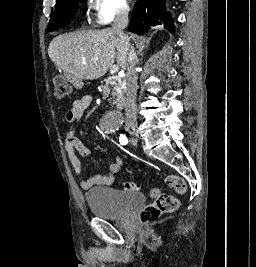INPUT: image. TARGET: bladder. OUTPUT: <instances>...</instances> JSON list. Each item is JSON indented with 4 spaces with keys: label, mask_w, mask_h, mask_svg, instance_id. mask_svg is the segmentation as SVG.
<instances>
[{
    "label": "bladder",
    "mask_w": 256,
    "mask_h": 267,
    "mask_svg": "<svg viewBox=\"0 0 256 267\" xmlns=\"http://www.w3.org/2000/svg\"><path fill=\"white\" fill-rule=\"evenodd\" d=\"M85 199L91 213L104 219L122 218L145 201L144 195H124L122 190L112 188L90 190Z\"/></svg>",
    "instance_id": "bladder-1"
}]
</instances>
